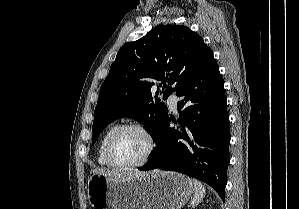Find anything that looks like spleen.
<instances>
[{
    "label": "spleen",
    "instance_id": "3e777b00",
    "mask_svg": "<svg viewBox=\"0 0 299 209\" xmlns=\"http://www.w3.org/2000/svg\"><path fill=\"white\" fill-rule=\"evenodd\" d=\"M192 184L194 190V197L191 199V206L195 207L202 201L206 190L203 184L198 180L193 179Z\"/></svg>",
    "mask_w": 299,
    "mask_h": 209
}]
</instances>
